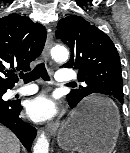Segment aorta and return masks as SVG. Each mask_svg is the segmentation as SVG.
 Instances as JSON below:
<instances>
[{
	"instance_id": "762f6f07",
	"label": "aorta",
	"mask_w": 130,
	"mask_h": 153,
	"mask_svg": "<svg viewBox=\"0 0 130 153\" xmlns=\"http://www.w3.org/2000/svg\"><path fill=\"white\" fill-rule=\"evenodd\" d=\"M51 55L55 61H67L69 52L65 47L56 46L51 50ZM49 142L44 134L37 139L34 146V153H48Z\"/></svg>"
}]
</instances>
